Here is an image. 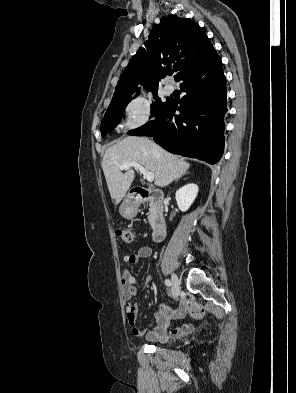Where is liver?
Segmentation results:
<instances>
[{"label":"liver","instance_id":"liver-1","mask_svg":"<svg viewBox=\"0 0 296 393\" xmlns=\"http://www.w3.org/2000/svg\"><path fill=\"white\" fill-rule=\"evenodd\" d=\"M137 162L154 174L155 185L166 187L179 179L190 164L173 155L154 142L143 137H126L109 147L104 154L102 169L111 198L118 204L130 188L135 172L128 169L122 173L120 166L125 162Z\"/></svg>","mask_w":296,"mask_h":393}]
</instances>
